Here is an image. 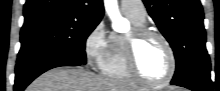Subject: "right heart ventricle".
<instances>
[{
    "mask_svg": "<svg viewBox=\"0 0 220 91\" xmlns=\"http://www.w3.org/2000/svg\"><path fill=\"white\" fill-rule=\"evenodd\" d=\"M127 17L135 27H143L145 24V22H138L129 16ZM101 70L103 75L110 78L121 81L133 80L127 68L124 36L116 34L111 36L110 52Z\"/></svg>",
    "mask_w": 220,
    "mask_h": 91,
    "instance_id": "obj_1",
    "label": "right heart ventricle"
}]
</instances>
